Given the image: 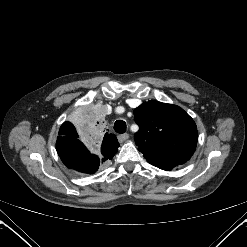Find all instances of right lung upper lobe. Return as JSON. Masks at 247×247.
<instances>
[{"label": "right lung upper lobe", "instance_id": "cb5924a9", "mask_svg": "<svg viewBox=\"0 0 247 247\" xmlns=\"http://www.w3.org/2000/svg\"><path fill=\"white\" fill-rule=\"evenodd\" d=\"M98 123V122H97ZM95 125V121L88 123V127L91 129ZM97 126V125H96ZM59 135L61 136H71L78 138V134L75 130V127L69 123L65 122L59 131ZM91 142V141H90ZM118 141L113 134L106 133L104 135L103 141L92 143V148H90V152L94 153L101 160V165H103L108 159H112L114 154L118 149Z\"/></svg>", "mask_w": 247, "mask_h": 247}]
</instances>
